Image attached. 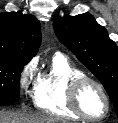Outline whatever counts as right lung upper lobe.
<instances>
[{"instance_id":"1","label":"right lung upper lobe","mask_w":118,"mask_h":123,"mask_svg":"<svg viewBox=\"0 0 118 123\" xmlns=\"http://www.w3.org/2000/svg\"><path fill=\"white\" fill-rule=\"evenodd\" d=\"M39 21L21 12L0 13V56L29 62L41 43Z\"/></svg>"}]
</instances>
